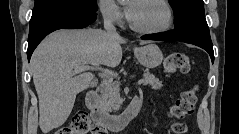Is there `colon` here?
<instances>
[{
    "mask_svg": "<svg viewBox=\"0 0 239 134\" xmlns=\"http://www.w3.org/2000/svg\"><path fill=\"white\" fill-rule=\"evenodd\" d=\"M164 69L168 73L176 71L187 73L190 70L189 58L183 53L169 55L164 61ZM197 102V92L195 88L188 89L181 93L179 98L171 106L169 116L173 119L171 130L174 134H186L188 128L186 124L179 122L191 115ZM55 134H105V129L93 122L85 111L76 112L68 126L58 129Z\"/></svg>",
    "mask_w": 239,
    "mask_h": 134,
    "instance_id": "1",
    "label": "colon"
}]
</instances>
